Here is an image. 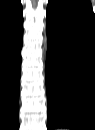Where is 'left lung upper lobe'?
Masks as SVG:
<instances>
[{"label": "left lung upper lobe", "instance_id": "5c2ea615", "mask_svg": "<svg viewBox=\"0 0 95 130\" xmlns=\"http://www.w3.org/2000/svg\"><path fill=\"white\" fill-rule=\"evenodd\" d=\"M47 13L52 15H80L95 20L88 0H49Z\"/></svg>", "mask_w": 95, "mask_h": 130}]
</instances>
